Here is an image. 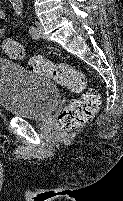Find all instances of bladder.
<instances>
[{
	"label": "bladder",
	"instance_id": "31cf9c89",
	"mask_svg": "<svg viewBox=\"0 0 123 201\" xmlns=\"http://www.w3.org/2000/svg\"><path fill=\"white\" fill-rule=\"evenodd\" d=\"M60 100L57 86L7 58H0V107L9 115L44 120Z\"/></svg>",
	"mask_w": 123,
	"mask_h": 201
}]
</instances>
